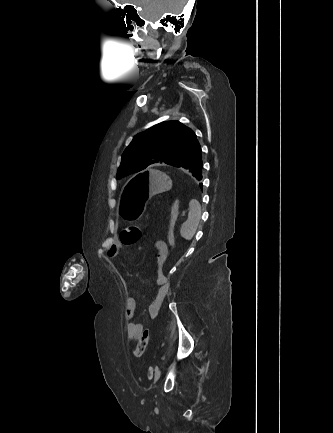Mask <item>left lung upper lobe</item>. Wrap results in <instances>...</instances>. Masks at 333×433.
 I'll return each instance as SVG.
<instances>
[{
	"label": "left lung upper lobe",
	"mask_w": 333,
	"mask_h": 433,
	"mask_svg": "<svg viewBox=\"0 0 333 433\" xmlns=\"http://www.w3.org/2000/svg\"><path fill=\"white\" fill-rule=\"evenodd\" d=\"M201 151L196 134L179 121H165L136 135L125 149L117 173L122 177L152 164L182 168Z\"/></svg>",
	"instance_id": "5c2ea615"
}]
</instances>
